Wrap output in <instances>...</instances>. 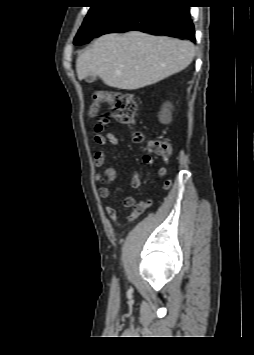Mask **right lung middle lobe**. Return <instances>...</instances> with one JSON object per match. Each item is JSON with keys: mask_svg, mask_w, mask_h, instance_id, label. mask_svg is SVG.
<instances>
[{"mask_svg": "<svg viewBox=\"0 0 254 355\" xmlns=\"http://www.w3.org/2000/svg\"><path fill=\"white\" fill-rule=\"evenodd\" d=\"M120 4L121 3L106 1L96 3L94 6L90 7V10L74 40L90 41Z\"/></svg>", "mask_w": 254, "mask_h": 355, "instance_id": "1", "label": "right lung middle lobe"}]
</instances>
